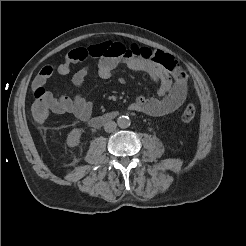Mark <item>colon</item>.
<instances>
[{
  "mask_svg": "<svg viewBox=\"0 0 246 246\" xmlns=\"http://www.w3.org/2000/svg\"><path fill=\"white\" fill-rule=\"evenodd\" d=\"M139 55L145 60H150L162 65L167 71L170 72L174 80L178 83L187 81L186 72L179 66L178 62L168 54L162 51H151L148 48L139 49ZM50 105L47 99L46 91L43 87L35 90L34 100L31 105V114L33 120L41 124L46 121L50 114ZM196 108L194 105H187L182 112V120L190 122L195 118Z\"/></svg>",
  "mask_w": 246,
  "mask_h": 246,
  "instance_id": "5ec220e1",
  "label": "colon"
}]
</instances>
